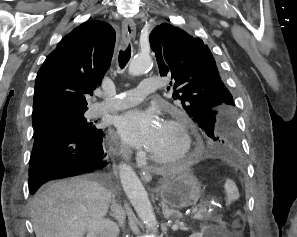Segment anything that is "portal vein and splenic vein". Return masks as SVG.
I'll use <instances>...</instances> for the list:
<instances>
[{
    "label": "portal vein and splenic vein",
    "mask_w": 297,
    "mask_h": 237,
    "mask_svg": "<svg viewBox=\"0 0 297 237\" xmlns=\"http://www.w3.org/2000/svg\"><path fill=\"white\" fill-rule=\"evenodd\" d=\"M197 211V206H195L193 209H192V213H195Z\"/></svg>",
    "instance_id": "18ae733b"
}]
</instances>
